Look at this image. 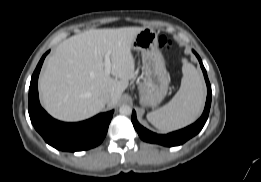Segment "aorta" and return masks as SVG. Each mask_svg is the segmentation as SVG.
Instances as JSON below:
<instances>
[{"label": "aorta", "mask_w": 261, "mask_h": 182, "mask_svg": "<svg viewBox=\"0 0 261 182\" xmlns=\"http://www.w3.org/2000/svg\"><path fill=\"white\" fill-rule=\"evenodd\" d=\"M119 112L120 114L122 115H130L132 113V108L131 106L129 105H122L120 108H119Z\"/></svg>", "instance_id": "obj_1"}]
</instances>
